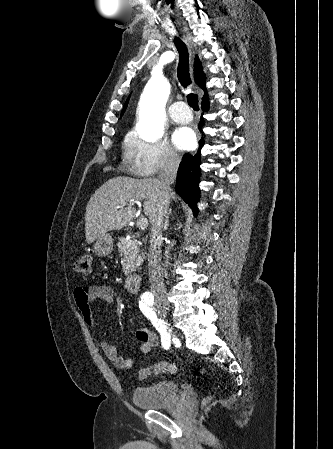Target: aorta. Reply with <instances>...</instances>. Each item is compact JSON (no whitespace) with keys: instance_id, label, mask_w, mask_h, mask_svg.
Returning a JSON list of instances; mask_svg holds the SVG:
<instances>
[{"instance_id":"obj_1","label":"aorta","mask_w":333,"mask_h":449,"mask_svg":"<svg viewBox=\"0 0 333 449\" xmlns=\"http://www.w3.org/2000/svg\"><path fill=\"white\" fill-rule=\"evenodd\" d=\"M170 89V83L164 78L160 68H155L144 88L139 104V134L148 141H155L163 136Z\"/></svg>"}]
</instances>
